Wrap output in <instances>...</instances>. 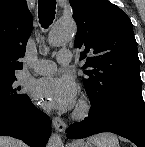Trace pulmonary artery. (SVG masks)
<instances>
[{
  "label": "pulmonary artery",
  "instance_id": "e3ab8cb5",
  "mask_svg": "<svg viewBox=\"0 0 145 147\" xmlns=\"http://www.w3.org/2000/svg\"><path fill=\"white\" fill-rule=\"evenodd\" d=\"M71 59L72 52L69 50L60 51L57 54V62L61 65L69 64L71 62ZM56 68V63L51 60H39L34 64L32 70L37 74L46 75L53 73Z\"/></svg>",
  "mask_w": 145,
  "mask_h": 147
}]
</instances>
